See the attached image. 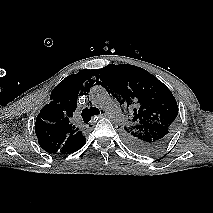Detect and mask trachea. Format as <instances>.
<instances>
[{
    "mask_svg": "<svg viewBox=\"0 0 213 213\" xmlns=\"http://www.w3.org/2000/svg\"><path fill=\"white\" fill-rule=\"evenodd\" d=\"M102 112V111H101ZM100 110L96 107L85 108L82 110V118L85 123H88L91 120V117L94 115H98Z\"/></svg>",
    "mask_w": 213,
    "mask_h": 213,
    "instance_id": "trachea-1",
    "label": "trachea"
}]
</instances>
